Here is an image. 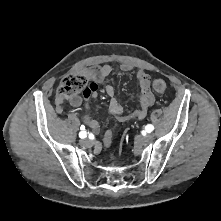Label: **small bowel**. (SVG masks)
<instances>
[{"instance_id": "small-bowel-1", "label": "small bowel", "mask_w": 221, "mask_h": 221, "mask_svg": "<svg viewBox=\"0 0 221 221\" xmlns=\"http://www.w3.org/2000/svg\"><path fill=\"white\" fill-rule=\"evenodd\" d=\"M132 70V66L129 64H122L117 71L121 73H128ZM113 72V67L109 64L100 67H91L83 70V75H85L90 81L87 83L86 87L80 92L83 99L89 100L96 98L101 92V84H103L106 78ZM137 80L140 87L139 101L140 108L136 109L131 115L123 116L124 109L119 103L115 96V88L108 84L105 86V92L110 98L109 102V113L117 118L121 122H125L131 119L142 120L147 115L148 108L154 103V95L151 91V77L143 70L137 72ZM80 96H74L69 99V103L72 107H79L82 104V98ZM56 109L58 112L62 111L63 98L58 94L56 96ZM86 108L89 109V104H86ZM86 124L93 130L97 131L99 129L98 121L92 119L89 115L84 116ZM114 138V132L108 129L104 136V144L109 146Z\"/></svg>"}]
</instances>
